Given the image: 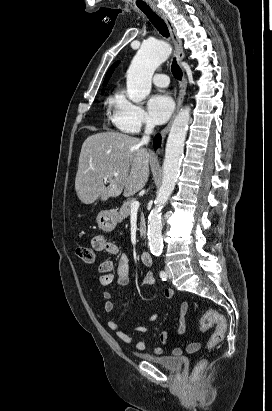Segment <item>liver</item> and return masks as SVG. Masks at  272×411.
<instances>
[{
	"mask_svg": "<svg viewBox=\"0 0 272 411\" xmlns=\"http://www.w3.org/2000/svg\"><path fill=\"white\" fill-rule=\"evenodd\" d=\"M151 157L136 137L116 132L89 136L79 156L75 179L78 198L92 204L117 197L123 190L125 197L137 193L148 181ZM105 182L109 183L107 187Z\"/></svg>",
	"mask_w": 272,
	"mask_h": 411,
	"instance_id": "liver-1",
	"label": "liver"
}]
</instances>
